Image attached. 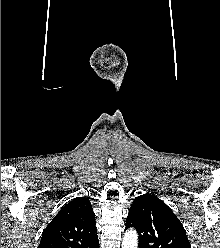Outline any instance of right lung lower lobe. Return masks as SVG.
I'll return each instance as SVG.
<instances>
[{
    "label": "right lung lower lobe",
    "instance_id": "obj_1",
    "mask_svg": "<svg viewBox=\"0 0 220 248\" xmlns=\"http://www.w3.org/2000/svg\"><path fill=\"white\" fill-rule=\"evenodd\" d=\"M93 248H99V244H97V245L93 246Z\"/></svg>",
    "mask_w": 220,
    "mask_h": 248
}]
</instances>
